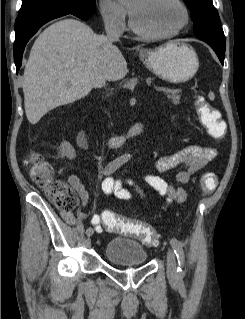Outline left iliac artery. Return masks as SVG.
Masks as SVG:
<instances>
[{"label": "left iliac artery", "mask_w": 245, "mask_h": 319, "mask_svg": "<svg viewBox=\"0 0 245 319\" xmlns=\"http://www.w3.org/2000/svg\"><path fill=\"white\" fill-rule=\"evenodd\" d=\"M171 246L174 250V253L177 256L179 267L177 268V276L179 279H182L184 276L183 265H184V251L179 240L172 238L170 240Z\"/></svg>", "instance_id": "obj_1"}]
</instances>
